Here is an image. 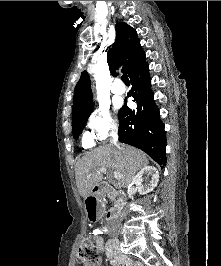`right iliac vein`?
<instances>
[{
	"label": "right iliac vein",
	"instance_id": "1",
	"mask_svg": "<svg viewBox=\"0 0 221 266\" xmlns=\"http://www.w3.org/2000/svg\"><path fill=\"white\" fill-rule=\"evenodd\" d=\"M118 244H119V242H118L117 238L115 237L114 240H113V246L117 247Z\"/></svg>",
	"mask_w": 221,
	"mask_h": 266
}]
</instances>
